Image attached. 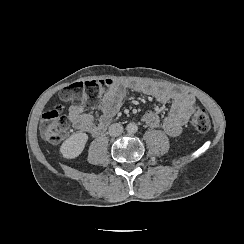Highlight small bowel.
<instances>
[{
	"instance_id": "c3829d8e",
	"label": "small bowel",
	"mask_w": 244,
	"mask_h": 244,
	"mask_svg": "<svg viewBox=\"0 0 244 244\" xmlns=\"http://www.w3.org/2000/svg\"><path fill=\"white\" fill-rule=\"evenodd\" d=\"M136 92L154 98L159 104L170 103L166 117L161 120L154 110H148L143 115V121L150 127L160 125L170 137H178L184 125L195 110L196 99L193 94L171 86L143 80L120 79L113 81L106 92H100V102L97 106L101 116L95 120L89 110L81 103L69 108V117L73 126L88 135L98 136L105 132L114 115L129 92Z\"/></svg>"
}]
</instances>
